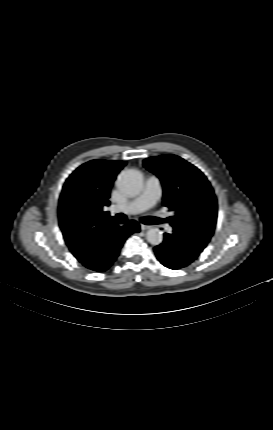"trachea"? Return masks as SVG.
<instances>
[{
    "mask_svg": "<svg viewBox=\"0 0 273 430\" xmlns=\"http://www.w3.org/2000/svg\"><path fill=\"white\" fill-rule=\"evenodd\" d=\"M116 221L121 223V224H125L127 222V216L122 214V213H119L116 215ZM161 221L162 220H160L156 217H152V216H147V217L141 218V222L146 224V225L158 224Z\"/></svg>",
    "mask_w": 273,
    "mask_h": 430,
    "instance_id": "1",
    "label": "trachea"
}]
</instances>
